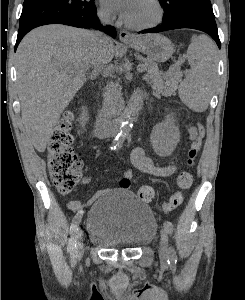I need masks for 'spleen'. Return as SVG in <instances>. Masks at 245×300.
Instances as JSON below:
<instances>
[{
	"label": "spleen",
	"instance_id": "1",
	"mask_svg": "<svg viewBox=\"0 0 245 300\" xmlns=\"http://www.w3.org/2000/svg\"><path fill=\"white\" fill-rule=\"evenodd\" d=\"M187 58L191 70L179 87V97L193 111L203 112L213 93L217 67L216 46L206 36H193Z\"/></svg>",
	"mask_w": 245,
	"mask_h": 300
}]
</instances>
